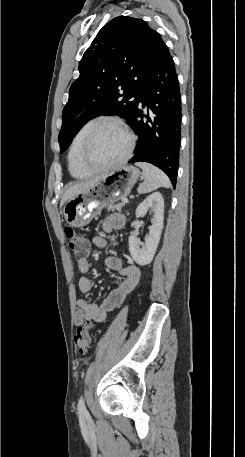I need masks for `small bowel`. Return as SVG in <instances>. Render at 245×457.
Segmentation results:
<instances>
[{
    "label": "small bowel",
    "instance_id": "obj_1",
    "mask_svg": "<svg viewBox=\"0 0 245 457\" xmlns=\"http://www.w3.org/2000/svg\"><path fill=\"white\" fill-rule=\"evenodd\" d=\"M125 225V216L120 213H111L105 217L102 222V229L109 234L115 230L121 229ZM95 244L100 247L106 245L102 237H96ZM105 265L110 270L122 276L117 288L112 290L109 295L99 304L90 302L86 299L77 300V311L74 322L77 326L83 325L87 321L103 322L106 319L107 312L112 311L121 305L142 283L143 272L136 265L124 266L122 260L116 256H109L105 259ZM78 269L81 277L78 280L79 290L87 294L93 288V282L88 276L90 262L87 258L78 260Z\"/></svg>",
    "mask_w": 245,
    "mask_h": 457
}]
</instances>
